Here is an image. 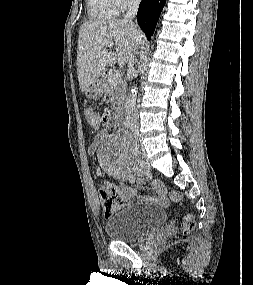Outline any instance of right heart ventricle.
Segmentation results:
<instances>
[{
	"instance_id": "obj_1",
	"label": "right heart ventricle",
	"mask_w": 253,
	"mask_h": 285,
	"mask_svg": "<svg viewBox=\"0 0 253 285\" xmlns=\"http://www.w3.org/2000/svg\"><path fill=\"white\" fill-rule=\"evenodd\" d=\"M120 11L115 0H88V12L93 18H115Z\"/></svg>"
}]
</instances>
